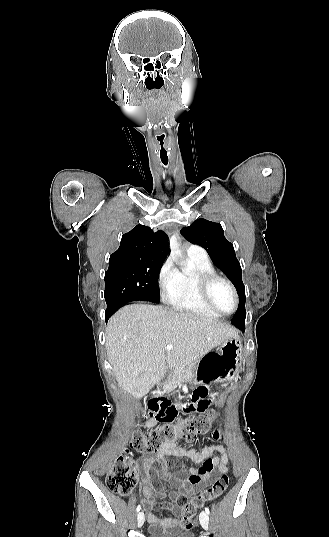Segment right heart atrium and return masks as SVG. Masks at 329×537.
<instances>
[{
    "mask_svg": "<svg viewBox=\"0 0 329 537\" xmlns=\"http://www.w3.org/2000/svg\"><path fill=\"white\" fill-rule=\"evenodd\" d=\"M157 282L162 298L168 300L178 286V270L172 260L167 259L162 264L158 272Z\"/></svg>",
    "mask_w": 329,
    "mask_h": 537,
    "instance_id": "obj_1",
    "label": "right heart atrium"
}]
</instances>
